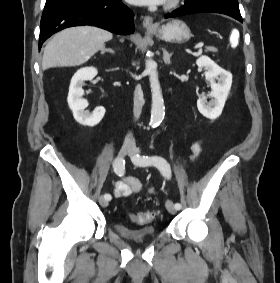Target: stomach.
<instances>
[{
    "label": "stomach",
    "mask_w": 280,
    "mask_h": 283,
    "mask_svg": "<svg viewBox=\"0 0 280 283\" xmlns=\"http://www.w3.org/2000/svg\"><path fill=\"white\" fill-rule=\"evenodd\" d=\"M152 32L163 41L175 43L187 42L192 36L189 27L177 19L153 29Z\"/></svg>",
    "instance_id": "1"
}]
</instances>
